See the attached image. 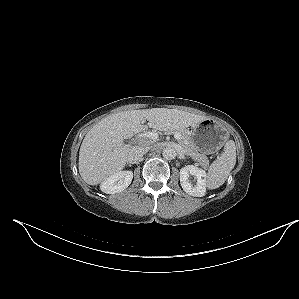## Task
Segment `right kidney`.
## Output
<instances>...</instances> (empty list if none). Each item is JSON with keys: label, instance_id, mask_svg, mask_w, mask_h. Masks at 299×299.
<instances>
[{"label": "right kidney", "instance_id": "ca27d5eb", "mask_svg": "<svg viewBox=\"0 0 299 299\" xmlns=\"http://www.w3.org/2000/svg\"><path fill=\"white\" fill-rule=\"evenodd\" d=\"M133 179L132 171H120L105 179L100 189L106 194H115L125 190Z\"/></svg>", "mask_w": 299, "mask_h": 299}]
</instances>
